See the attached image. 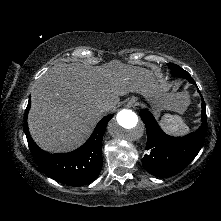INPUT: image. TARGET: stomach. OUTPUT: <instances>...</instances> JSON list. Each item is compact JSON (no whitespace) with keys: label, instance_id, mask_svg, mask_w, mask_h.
Segmentation results:
<instances>
[{"label":"stomach","instance_id":"0dacf381","mask_svg":"<svg viewBox=\"0 0 221 221\" xmlns=\"http://www.w3.org/2000/svg\"><path fill=\"white\" fill-rule=\"evenodd\" d=\"M168 96H171V94ZM181 100H182V98H181ZM182 102L185 103L183 100H182ZM152 105H153L154 112L156 114H159L161 112V110L164 108L163 107V100H161V99L160 100H153Z\"/></svg>","mask_w":221,"mask_h":221}]
</instances>
